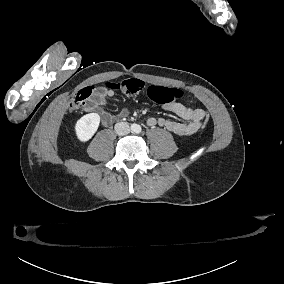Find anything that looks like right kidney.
Wrapping results in <instances>:
<instances>
[{
	"label": "right kidney",
	"mask_w": 284,
	"mask_h": 284,
	"mask_svg": "<svg viewBox=\"0 0 284 284\" xmlns=\"http://www.w3.org/2000/svg\"><path fill=\"white\" fill-rule=\"evenodd\" d=\"M100 120V115L95 112L80 117L74 125L77 140L81 143H86L92 139L99 128Z\"/></svg>",
	"instance_id": "obj_1"
}]
</instances>
